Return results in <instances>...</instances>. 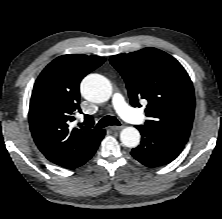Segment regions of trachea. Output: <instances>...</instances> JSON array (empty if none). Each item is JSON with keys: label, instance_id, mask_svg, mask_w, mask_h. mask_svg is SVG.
I'll list each match as a JSON object with an SVG mask.
<instances>
[{"label": "trachea", "instance_id": "1", "mask_svg": "<svg viewBox=\"0 0 222 219\" xmlns=\"http://www.w3.org/2000/svg\"><path fill=\"white\" fill-rule=\"evenodd\" d=\"M109 125H120L118 119L114 116H105L103 117L96 125V129L104 128Z\"/></svg>", "mask_w": 222, "mask_h": 219}]
</instances>
